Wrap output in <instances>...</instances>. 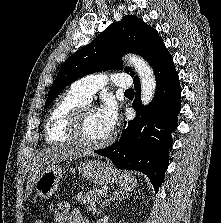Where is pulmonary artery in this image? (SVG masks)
I'll use <instances>...</instances> for the list:
<instances>
[{
	"instance_id": "1",
	"label": "pulmonary artery",
	"mask_w": 221,
	"mask_h": 223,
	"mask_svg": "<svg viewBox=\"0 0 221 223\" xmlns=\"http://www.w3.org/2000/svg\"><path fill=\"white\" fill-rule=\"evenodd\" d=\"M112 81L116 86L129 89L132 87V80L124 73H114L109 79L107 75L98 73L78 79L71 85V89L81 96L86 102L90 101L96 91Z\"/></svg>"
}]
</instances>
